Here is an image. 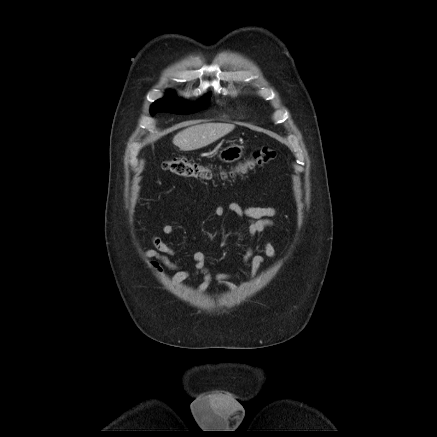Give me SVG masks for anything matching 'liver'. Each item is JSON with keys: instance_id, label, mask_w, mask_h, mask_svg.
<instances>
[{"instance_id": "1", "label": "liver", "mask_w": 437, "mask_h": 437, "mask_svg": "<svg viewBox=\"0 0 437 437\" xmlns=\"http://www.w3.org/2000/svg\"><path fill=\"white\" fill-rule=\"evenodd\" d=\"M234 128V124L228 123L197 124L177 133L173 138V144L182 151L197 150L227 135Z\"/></svg>"}]
</instances>
